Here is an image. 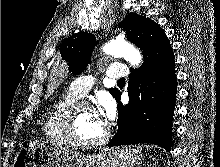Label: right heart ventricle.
<instances>
[{"label": "right heart ventricle", "mask_w": 220, "mask_h": 167, "mask_svg": "<svg viewBox=\"0 0 220 167\" xmlns=\"http://www.w3.org/2000/svg\"><path fill=\"white\" fill-rule=\"evenodd\" d=\"M78 99V96L68 90L50 105L42 127L43 134L48 140L59 145H70L61 123L67 108Z\"/></svg>", "instance_id": "right-heart-ventricle-1"}]
</instances>
